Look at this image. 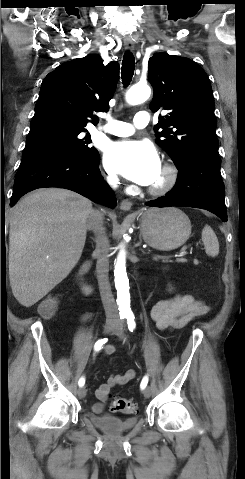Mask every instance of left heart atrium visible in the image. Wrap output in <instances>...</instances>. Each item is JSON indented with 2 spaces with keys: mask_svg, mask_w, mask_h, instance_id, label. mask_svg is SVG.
Segmentation results:
<instances>
[{
  "mask_svg": "<svg viewBox=\"0 0 245 479\" xmlns=\"http://www.w3.org/2000/svg\"><path fill=\"white\" fill-rule=\"evenodd\" d=\"M105 166L140 185H151L161 172L156 149L147 141H118L105 150Z\"/></svg>",
  "mask_w": 245,
  "mask_h": 479,
  "instance_id": "obj_1",
  "label": "left heart atrium"
}]
</instances>
